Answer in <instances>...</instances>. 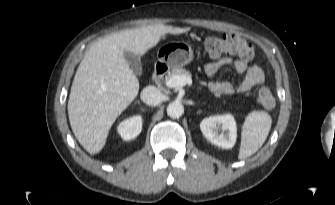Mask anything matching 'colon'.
<instances>
[{"label": "colon", "instance_id": "5ec220e1", "mask_svg": "<svg viewBox=\"0 0 335 205\" xmlns=\"http://www.w3.org/2000/svg\"><path fill=\"white\" fill-rule=\"evenodd\" d=\"M204 48L212 58H219L223 55H238L240 59L250 61L254 57V47L235 34L209 37L204 41ZM257 102L267 109L274 107L275 98L269 87L264 86L258 90Z\"/></svg>", "mask_w": 335, "mask_h": 205}]
</instances>
